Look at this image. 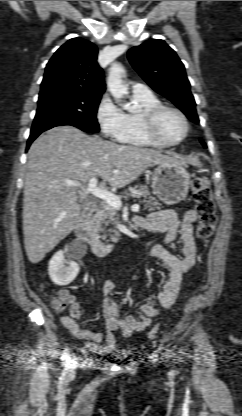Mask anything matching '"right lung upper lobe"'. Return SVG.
Instances as JSON below:
<instances>
[{
	"label": "right lung upper lobe",
	"instance_id": "obj_1",
	"mask_svg": "<svg viewBox=\"0 0 242 416\" xmlns=\"http://www.w3.org/2000/svg\"><path fill=\"white\" fill-rule=\"evenodd\" d=\"M97 54L96 46L87 40H68L48 62L40 95L58 91L102 95L104 75L97 64Z\"/></svg>",
	"mask_w": 242,
	"mask_h": 416
}]
</instances>
